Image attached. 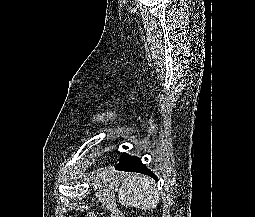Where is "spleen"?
I'll list each match as a JSON object with an SVG mask.
<instances>
[{
	"instance_id": "3e777b00",
	"label": "spleen",
	"mask_w": 255,
	"mask_h": 217,
	"mask_svg": "<svg viewBox=\"0 0 255 217\" xmlns=\"http://www.w3.org/2000/svg\"><path fill=\"white\" fill-rule=\"evenodd\" d=\"M112 177L122 182L118 197L124 206L150 210L159 203L156 186L148 178L138 174H113Z\"/></svg>"
}]
</instances>
